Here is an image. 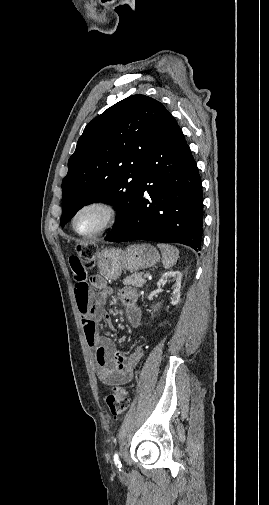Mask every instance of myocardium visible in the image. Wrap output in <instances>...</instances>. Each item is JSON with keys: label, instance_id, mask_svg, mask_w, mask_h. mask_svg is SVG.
Returning <instances> with one entry per match:
<instances>
[{"label": "myocardium", "instance_id": "myocardium-1", "mask_svg": "<svg viewBox=\"0 0 269 505\" xmlns=\"http://www.w3.org/2000/svg\"><path fill=\"white\" fill-rule=\"evenodd\" d=\"M91 207H101L105 209L107 211V219L98 229L92 232L89 233L79 232L75 225L76 219L82 211ZM119 217H120V208L114 201L106 198H95L83 203L76 209L71 218V227L77 235L81 237L91 238L98 236L107 231L108 229H110L117 223Z\"/></svg>", "mask_w": 269, "mask_h": 505}]
</instances>
